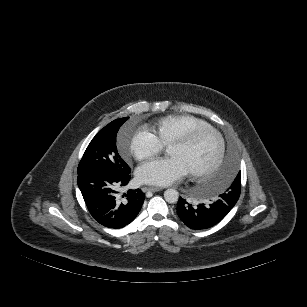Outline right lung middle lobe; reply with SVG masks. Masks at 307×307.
<instances>
[{"label":"right lung middle lobe","mask_w":307,"mask_h":307,"mask_svg":"<svg viewBox=\"0 0 307 307\" xmlns=\"http://www.w3.org/2000/svg\"><path fill=\"white\" fill-rule=\"evenodd\" d=\"M128 118L114 120L96 134L79 163L78 175L93 171L112 175L130 173L131 169L120 157L116 146L118 130Z\"/></svg>","instance_id":"right-lung-middle-lobe-1"}]
</instances>
